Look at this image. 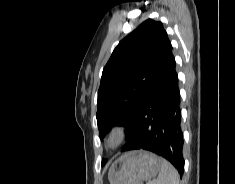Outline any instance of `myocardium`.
<instances>
[{
	"label": "myocardium",
	"instance_id": "f54148a6",
	"mask_svg": "<svg viewBox=\"0 0 235 184\" xmlns=\"http://www.w3.org/2000/svg\"><path fill=\"white\" fill-rule=\"evenodd\" d=\"M128 132L126 123L120 121L106 132L102 145L107 151H116L124 142Z\"/></svg>",
	"mask_w": 235,
	"mask_h": 184
}]
</instances>
